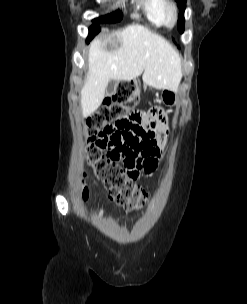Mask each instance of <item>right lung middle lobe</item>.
<instances>
[{
  "label": "right lung middle lobe",
  "instance_id": "dd1d6c3e",
  "mask_svg": "<svg viewBox=\"0 0 247 304\" xmlns=\"http://www.w3.org/2000/svg\"><path fill=\"white\" fill-rule=\"evenodd\" d=\"M122 13L120 11L113 12L111 14H107L105 16H101L93 20V25L89 29V37L87 41L90 40L92 36L97 34L100 31L101 23H114L119 22L122 19Z\"/></svg>",
  "mask_w": 247,
  "mask_h": 304
}]
</instances>
